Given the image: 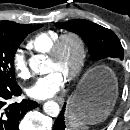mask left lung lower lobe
Wrapping results in <instances>:
<instances>
[{
  "instance_id": "left-lung-lower-lobe-1",
  "label": "left lung lower lobe",
  "mask_w": 130,
  "mask_h": 130,
  "mask_svg": "<svg viewBox=\"0 0 130 130\" xmlns=\"http://www.w3.org/2000/svg\"><path fill=\"white\" fill-rule=\"evenodd\" d=\"M109 84V81L106 80H102V81H98L95 78H89L84 86V92L86 94H89L92 92L93 89H95L96 87L102 85V86H106ZM65 105L63 109L61 110V113L59 114L57 120L55 121L54 124V130H66V125H65V118H64V113H65Z\"/></svg>"
}]
</instances>
